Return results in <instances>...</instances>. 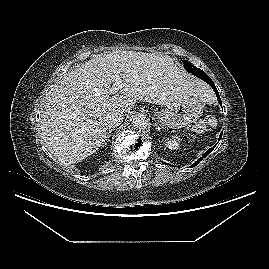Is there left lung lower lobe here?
I'll return each instance as SVG.
<instances>
[{"label": "left lung lower lobe", "mask_w": 269, "mask_h": 269, "mask_svg": "<svg viewBox=\"0 0 269 269\" xmlns=\"http://www.w3.org/2000/svg\"><path fill=\"white\" fill-rule=\"evenodd\" d=\"M193 75L197 76L198 78H201L202 80H204L205 82H207L214 90V92L216 93L218 102L220 103V105L222 106V102L219 96V93L215 87V84L213 83V81L208 77V75L202 71L201 69H197L196 72L193 73ZM222 133L220 134L219 140L221 139ZM216 146V145H215ZM212 147L211 149H209L208 151H206V153L203 154V156L201 158L198 159L197 162H195L192 167L196 166L197 164H199V161H201L203 158L207 157L208 154H210V152L215 148Z\"/></svg>", "instance_id": "obj_1"}]
</instances>
